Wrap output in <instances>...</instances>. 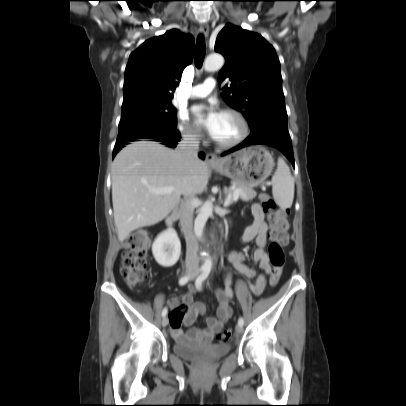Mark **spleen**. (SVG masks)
<instances>
[{
  "instance_id": "1",
  "label": "spleen",
  "mask_w": 406,
  "mask_h": 406,
  "mask_svg": "<svg viewBox=\"0 0 406 406\" xmlns=\"http://www.w3.org/2000/svg\"><path fill=\"white\" fill-rule=\"evenodd\" d=\"M294 179L288 165L278 159L277 169L272 177V194L275 202L283 209L290 208L294 199Z\"/></svg>"
}]
</instances>
